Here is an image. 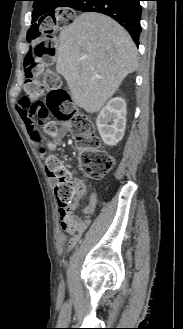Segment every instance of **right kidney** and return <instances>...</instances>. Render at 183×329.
Here are the masks:
<instances>
[{
  "instance_id": "obj_1",
  "label": "right kidney",
  "mask_w": 183,
  "mask_h": 329,
  "mask_svg": "<svg viewBox=\"0 0 183 329\" xmlns=\"http://www.w3.org/2000/svg\"><path fill=\"white\" fill-rule=\"evenodd\" d=\"M126 103L120 97L112 98L96 119L98 132L106 145L114 146L122 140L126 127Z\"/></svg>"
}]
</instances>
